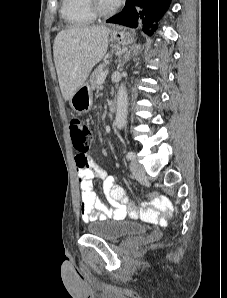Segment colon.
<instances>
[{
    "label": "colon",
    "instance_id": "colon-1",
    "mask_svg": "<svg viewBox=\"0 0 227 298\" xmlns=\"http://www.w3.org/2000/svg\"><path fill=\"white\" fill-rule=\"evenodd\" d=\"M70 135L73 147L76 150H89L92 142V135L88 125L79 118H73L70 121ZM146 206L158 208L160 211L169 215L171 213V205L168 200L153 192Z\"/></svg>",
    "mask_w": 227,
    "mask_h": 298
}]
</instances>
